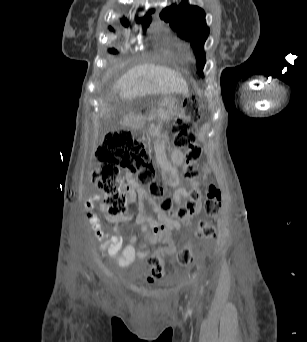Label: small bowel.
Segmentation results:
<instances>
[{
	"mask_svg": "<svg viewBox=\"0 0 307 342\" xmlns=\"http://www.w3.org/2000/svg\"><path fill=\"white\" fill-rule=\"evenodd\" d=\"M170 157L171 163L165 158H162L160 161L162 174L166 184L175 188V192L172 196L173 202L178 206H182L184 201L190 198V189L199 188L207 180L210 170L207 165L203 166L200 178L191 180L187 187L183 184V181L179 177L176 169V166L181 165L184 161L183 152L178 149H173L170 153ZM127 182L130 197L134 198L136 195L138 196L136 221L140 225L143 237L146 229H151V225H173V231L181 228V223L172 220L167 212H164L159 208H156V218L149 214L146 210V206L151 202V198L147 192L138 184L134 176L128 173ZM99 200L100 196L98 194H94L85 203L87 219L91 229L93 230L95 237L98 240L103 241L99 250L107 252L111 258L116 260L117 265L121 268L130 266L136 257L139 259H145V256L149 253H141V250L138 252L136 251L135 235L128 239H124L117 227L114 228L113 233H106L102 230L100 225V216L93 212L95 203ZM110 220L112 222H120L126 219Z\"/></svg>",
	"mask_w": 307,
	"mask_h": 342,
	"instance_id": "obj_1",
	"label": "small bowel"
}]
</instances>
